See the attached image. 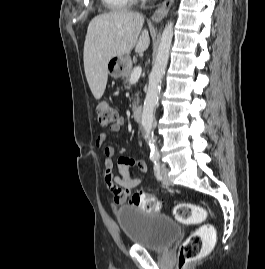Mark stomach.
Wrapping results in <instances>:
<instances>
[{"label":"stomach","mask_w":265,"mask_h":269,"mask_svg":"<svg viewBox=\"0 0 265 269\" xmlns=\"http://www.w3.org/2000/svg\"><path fill=\"white\" fill-rule=\"evenodd\" d=\"M131 59L128 55L113 57L107 64V72L113 78L125 77L131 70Z\"/></svg>","instance_id":"stomach-1"}]
</instances>
